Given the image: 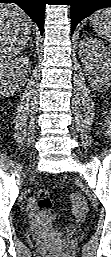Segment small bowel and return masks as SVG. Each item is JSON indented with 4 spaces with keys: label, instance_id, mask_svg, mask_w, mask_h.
Here are the masks:
<instances>
[{
    "label": "small bowel",
    "instance_id": "small-bowel-1",
    "mask_svg": "<svg viewBox=\"0 0 111 257\" xmlns=\"http://www.w3.org/2000/svg\"><path fill=\"white\" fill-rule=\"evenodd\" d=\"M28 212H29L30 217L34 220L35 214H34V206L32 204L29 205Z\"/></svg>",
    "mask_w": 111,
    "mask_h": 257
}]
</instances>
